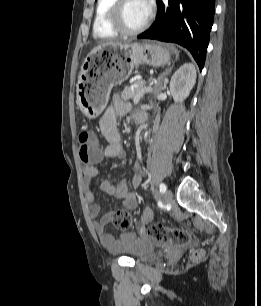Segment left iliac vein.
I'll list each match as a JSON object with an SVG mask.
<instances>
[{"label":"left iliac vein","instance_id":"obj_1","mask_svg":"<svg viewBox=\"0 0 261 306\" xmlns=\"http://www.w3.org/2000/svg\"><path fill=\"white\" fill-rule=\"evenodd\" d=\"M172 198H173V193H172L171 190L168 189L165 192L164 197H163L164 204H169L171 202Z\"/></svg>","mask_w":261,"mask_h":306}]
</instances>
